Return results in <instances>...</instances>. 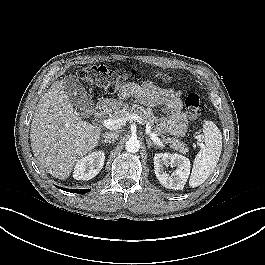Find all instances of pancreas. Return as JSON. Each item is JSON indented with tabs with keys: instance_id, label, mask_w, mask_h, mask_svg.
<instances>
[{
	"instance_id": "obj_1",
	"label": "pancreas",
	"mask_w": 265,
	"mask_h": 265,
	"mask_svg": "<svg viewBox=\"0 0 265 265\" xmlns=\"http://www.w3.org/2000/svg\"><path fill=\"white\" fill-rule=\"evenodd\" d=\"M132 113L139 115L142 120L148 122L153 128V133L159 136L164 143H169L174 150L179 151L183 154L188 152V148L183 141L177 138L166 136V132L164 131L163 127L158 124L159 119L154 116L151 109H145L144 107L136 104H133L132 106L124 104L119 106L114 111L110 119H118Z\"/></svg>"
}]
</instances>
